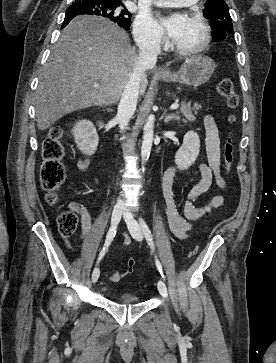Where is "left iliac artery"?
Here are the masks:
<instances>
[{"label":"left iliac artery","instance_id":"left-iliac-artery-1","mask_svg":"<svg viewBox=\"0 0 276 363\" xmlns=\"http://www.w3.org/2000/svg\"><path fill=\"white\" fill-rule=\"evenodd\" d=\"M139 222H140L141 228L143 230V233L145 235V238L148 241V244L153 249V247H154L153 238H152V234H151V231H150L148 225L146 224V222L142 218L139 219ZM156 267L159 270L161 276L163 278H165L164 274H163V271H162V265L160 264V262L157 259H156Z\"/></svg>","mask_w":276,"mask_h":363}]
</instances>
